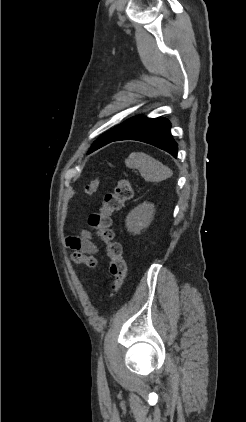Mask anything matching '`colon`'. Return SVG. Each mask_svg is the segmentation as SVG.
<instances>
[{
  "mask_svg": "<svg viewBox=\"0 0 246 422\" xmlns=\"http://www.w3.org/2000/svg\"><path fill=\"white\" fill-rule=\"evenodd\" d=\"M98 187V181L93 180L86 186V191L92 194ZM133 190L127 179H120L112 193L104 196L101 208L92 213L88 218L89 226L94 230L96 237L105 245L106 254L110 260V273L113 276L112 290L116 294L122 288L126 274L127 264L122 255L121 244L115 240L111 228L112 216L132 198ZM72 258L75 262L84 263L90 267L95 266L96 260L92 256L81 252H74Z\"/></svg>",
  "mask_w": 246,
  "mask_h": 422,
  "instance_id": "5ec220e1",
  "label": "colon"
}]
</instances>
